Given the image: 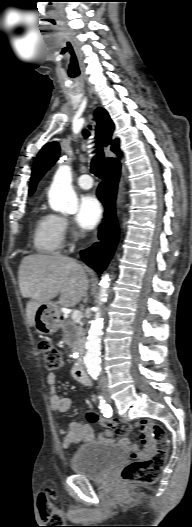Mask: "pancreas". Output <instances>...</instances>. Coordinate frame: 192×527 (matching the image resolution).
<instances>
[{"label":"pancreas","mask_w":192,"mask_h":527,"mask_svg":"<svg viewBox=\"0 0 192 527\" xmlns=\"http://www.w3.org/2000/svg\"><path fill=\"white\" fill-rule=\"evenodd\" d=\"M63 339L66 343L71 345L74 350L79 349L84 345L85 332L81 324L75 323L73 320H65L62 323Z\"/></svg>","instance_id":"obj_1"}]
</instances>
